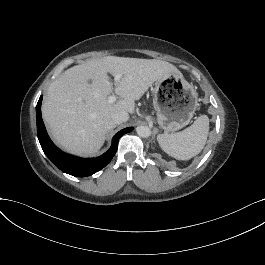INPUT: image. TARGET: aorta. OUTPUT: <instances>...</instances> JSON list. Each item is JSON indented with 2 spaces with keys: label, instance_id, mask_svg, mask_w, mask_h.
Returning a JSON list of instances; mask_svg holds the SVG:
<instances>
[{
  "label": "aorta",
  "instance_id": "obj_1",
  "mask_svg": "<svg viewBox=\"0 0 265 265\" xmlns=\"http://www.w3.org/2000/svg\"><path fill=\"white\" fill-rule=\"evenodd\" d=\"M136 132L140 137L143 138H147L151 135V129L146 125L138 126L136 128Z\"/></svg>",
  "mask_w": 265,
  "mask_h": 265
}]
</instances>
